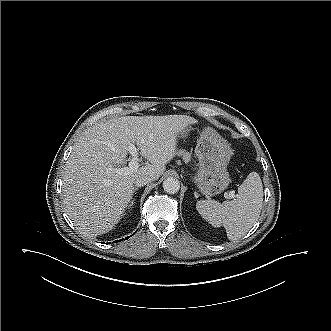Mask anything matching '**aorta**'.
Segmentation results:
<instances>
[{"instance_id": "762f6f07", "label": "aorta", "mask_w": 331, "mask_h": 331, "mask_svg": "<svg viewBox=\"0 0 331 331\" xmlns=\"http://www.w3.org/2000/svg\"><path fill=\"white\" fill-rule=\"evenodd\" d=\"M163 189L169 194H175L180 189L179 180L173 177H168L163 181Z\"/></svg>"}]
</instances>
